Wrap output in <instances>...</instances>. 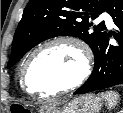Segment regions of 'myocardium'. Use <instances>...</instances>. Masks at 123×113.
<instances>
[{"instance_id":"f54148a6","label":"myocardium","mask_w":123,"mask_h":113,"mask_svg":"<svg viewBox=\"0 0 123 113\" xmlns=\"http://www.w3.org/2000/svg\"><path fill=\"white\" fill-rule=\"evenodd\" d=\"M61 43L72 45L81 54L82 69H81L79 76L74 81L69 83L68 85L58 90H55L51 93L36 94L34 92H31L28 87L27 75H28V69H29V66L32 60L36 57L38 53H40L44 49L50 46L56 45V44H61ZM92 70H93V55H92V51L90 47L88 46V44L77 36L60 35V36H57V37H54V38H51L45 41L44 43L40 44L30 53V55L27 57L26 61L24 62L22 70H21V76H20L21 85L24 88V90L30 95L37 97V98H41V99H49L56 95L67 93L71 90H74L75 88L83 84L88 79V77L91 75Z\"/></svg>"}]
</instances>
